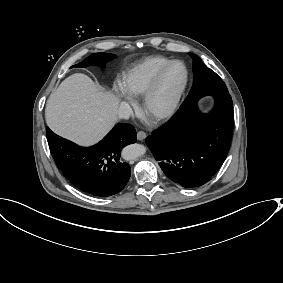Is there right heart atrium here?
Wrapping results in <instances>:
<instances>
[{"label": "right heart atrium", "instance_id": "obj_1", "mask_svg": "<svg viewBox=\"0 0 283 283\" xmlns=\"http://www.w3.org/2000/svg\"><path fill=\"white\" fill-rule=\"evenodd\" d=\"M109 96L120 104L130 107L132 106V99L127 95L121 83L114 82L111 86Z\"/></svg>", "mask_w": 283, "mask_h": 283}]
</instances>
